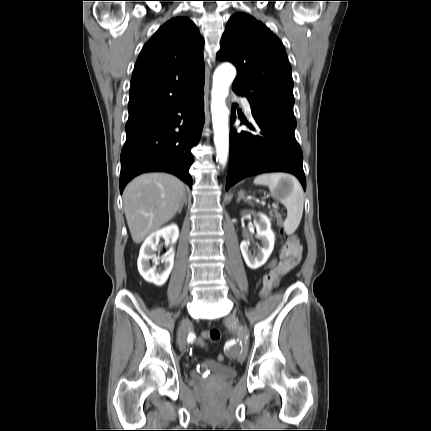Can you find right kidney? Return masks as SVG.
Here are the masks:
<instances>
[{"instance_id": "1", "label": "right kidney", "mask_w": 431, "mask_h": 431, "mask_svg": "<svg viewBox=\"0 0 431 431\" xmlns=\"http://www.w3.org/2000/svg\"><path fill=\"white\" fill-rule=\"evenodd\" d=\"M160 237H163L166 242H170L172 245L175 244L179 237L178 226L172 224L152 233L141 246L137 261L139 273L147 282L156 286H162L167 281L174 265L175 256L174 249L170 248L167 257L162 259L163 267L156 268L160 258L153 254V251L157 250ZM150 260L154 263L152 267L150 266Z\"/></svg>"}]
</instances>
